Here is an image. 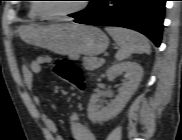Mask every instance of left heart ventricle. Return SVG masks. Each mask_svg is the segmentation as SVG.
Segmentation results:
<instances>
[{
    "instance_id": "1",
    "label": "left heart ventricle",
    "mask_w": 182,
    "mask_h": 140,
    "mask_svg": "<svg viewBox=\"0 0 182 140\" xmlns=\"http://www.w3.org/2000/svg\"><path fill=\"white\" fill-rule=\"evenodd\" d=\"M79 5V1L73 0H48L41 3L39 8L43 13L54 14L70 11Z\"/></svg>"
}]
</instances>
